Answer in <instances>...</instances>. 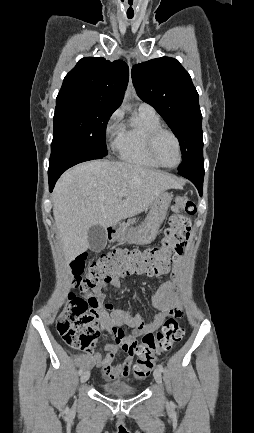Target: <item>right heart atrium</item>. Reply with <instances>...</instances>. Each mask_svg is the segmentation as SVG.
I'll return each instance as SVG.
<instances>
[{"mask_svg": "<svg viewBox=\"0 0 254 433\" xmlns=\"http://www.w3.org/2000/svg\"><path fill=\"white\" fill-rule=\"evenodd\" d=\"M120 120H121V112L120 110H115L110 117L105 126V135L108 139L116 137L120 130Z\"/></svg>", "mask_w": 254, "mask_h": 433, "instance_id": "right-heart-atrium-1", "label": "right heart atrium"}]
</instances>
